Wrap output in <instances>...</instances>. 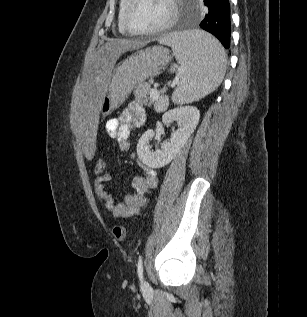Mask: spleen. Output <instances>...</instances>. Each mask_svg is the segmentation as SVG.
Masks as SVG:
<instances>
[{
	"mask_svg": "<svg viewBox=\"0 0 307 317\" xmlns=\"http://www.w3.org/2000/svg\"><path fill=\"white\" fill-rule=\"evenodd\" d=\"M157 44L172 48L177 63L171 71L180 77L172 94L175 104L198 101L213 92L222 82L226 71V54L220 42L195 26H186L181 33H163Z\"/></svg>",
	"mask_w": 307,
	"mask_h": 317,
	"instance_id": "1",
	"label": "spleen"
}]
</instances>
